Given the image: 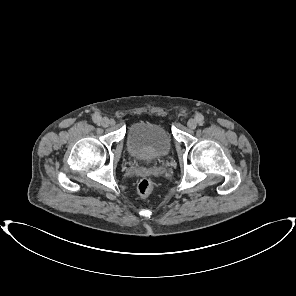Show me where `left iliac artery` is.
<instances>
[{
    "instance_id": "obj_1",
    "label": "left iliac artery",
    "mask_w": 296,
    "mask_h": 296,
    "mask_svg": "<svg viewBox=\"0 0 296 296\" xmlns=\"http://www.w3.org/2000/svg\"><path fill=\"white\" fill-rule=\"evenodd\" d=\"M196 119H197V122L199 123V125H203L204 117L202 115H198L196 117Z\"/></svg>"
}]
</instances>
